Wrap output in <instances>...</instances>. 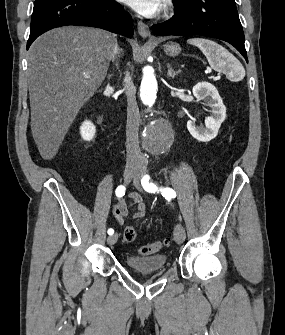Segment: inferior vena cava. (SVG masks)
Masks as SVG:
<instances>
[{
	"instance_id": "1",
	"label": "inferior vena cava",
	"mask_w": 285,
	"mask_h": 335,
	"mask_svg": "<svg viewBox=\"0 0 285 335\" xmlns=\"http://www.w3.org/2000/svg\"><path fill=\"white\" fill-rule=\"evenodd\" d=\"M120 50L115 46L112 52L114 60ZM126 96H127V126H126V150L127 162H144L145 158L139 148L138 132L140 124L139 108L136 102V90L131 82L129 74L125 76Z\"/></svg>"
}]
</instances>
